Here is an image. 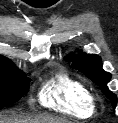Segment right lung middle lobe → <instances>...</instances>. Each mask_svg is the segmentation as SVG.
<instances>
[{
	"label": "right lung middle lobe",
	"mask_w": 118,
	"mask_h": 123,
	"mask_svg": "<svg viewBox=\"0 0 118 123\" xmlns=\"http://www.w3.org/2000/svg\"><path fill=\"white\" fill-rule=\"evenodd\" d=\"M30 79L9 64L0 63V107L11 105L29 90Z\"/></svg>",
	"instance_id": "right-lung-middle-lobe-1"
}]
</instances>
